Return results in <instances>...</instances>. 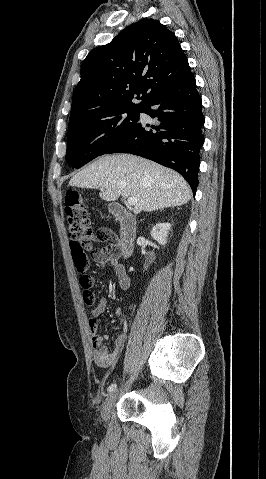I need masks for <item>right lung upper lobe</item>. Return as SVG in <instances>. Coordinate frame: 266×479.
<instances>
[{
  "mask_svg": "<svg viewBox=\"0 0 266 479\" xmlns=\"http://www.w3.org/2000/svg\"><path fill=\"white\" fill-rule=\"evenodd\" d=\"M189 74L175 35L158 20L142 19L87 55L69 121L117 108L143 107L157 91ZM134 96L142 102L134 104Z\"/></svg>",
  "mask_w": 266,
  "mask_h": 479,
  "instance_id": "obj_1",
  "label": "right lung upper lobe"
}]
</instances>
